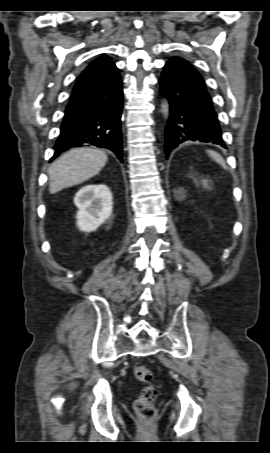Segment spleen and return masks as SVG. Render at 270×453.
Masks as SVG:
<instances>
[{
  "instance_id": "3e777b00",
  "label": "spleen",
  "mask_w": 270,
  "mask_h": 453,
  "mask_svg": "<svg viewBox=\"0 0 270 453\" xmlns=\"http://www.w3.org/2000/svg\"><path fill=\"white\" fill-rule=\"evenodd\" d=\"M207 153L215 162L220 164L224 169H227L225 160L218 152L213 151V150H208Z\"/></svg>"
}]
</instances>
